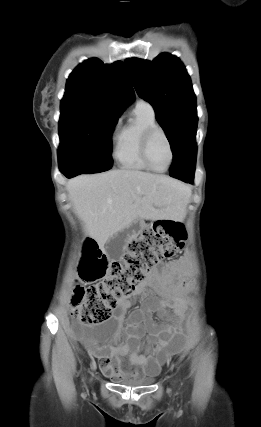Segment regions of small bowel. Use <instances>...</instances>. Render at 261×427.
<instances>
[{
	"mask_svg": "<svg viewBox=\"0 0 261 427\" xmlns=\"http://www.w3.org/2000/svg\"><path fill=\"white\" fill-rule=\"evenodd\" d=\"M186 268V260L171 261L164 266H155L134 292L121 297L115 306L110 322L98 329L74 327V336L87 352L100 359V369L115 379H132L141 374L156 375L162 364L184 346V337L177 326L158 324L152 313L157 302L147 294V289L162 290L177 280ZM142 296L141 305L124 321L126 312L136 297ZM124 336V339H123ZM103 340L106 343L100 345ZM147 351L142 352L143 347ZM129 357V365L123 367L121 358Z\"/></svg>",
	"mask_w": 261,
	"mask_h": 427,
	"instance_id": "1",
	"label": "small bowel"
}]
</instances>
